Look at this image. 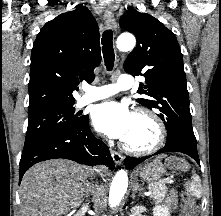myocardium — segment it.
<instances>
[{
  "label": "myocardium",
  "mask_w": 221,
  "mask_h": 216,
  "mask_svg": "<svg viewBox=\"0 0 221 216\" xmlns=\"http://www.w3.org/2000/svg\"><path fill=\"white\" fill-rule=\"evenodd\" d=\"M134 115L143 116L151 120L156 127L157 136L154 143L148 147H134L129 145L126 141H122L121 146L123 150L134 155H145L157 151L164 144L166 139V127L163 120L156 112L147 107H138Z\"/></svg>",
  "instance_id": "obj_1"
}]
</instances>
